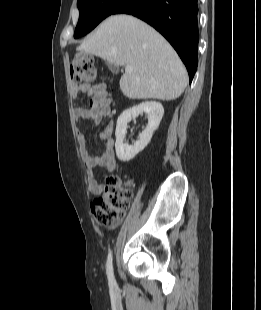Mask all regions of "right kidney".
I'll return each instance as SVG.
<instances>
[{"label": "right kidney", "mask_w": 261, "mask_h": 310, "mask_svg": "<svg viewBox=\"0 0 261 310\" xmlns=\"http://www.w3.org/2000/svg\"><path fill=\"white\" fill-rule=\"evenodd\" d=\"M143 112L149 117L148 125L133 145H126L124 138L127 133V124ZM163 114L164 109L162 104L156 101H146L122 112L118 117L115 131V150L119 160L123 162L132 160L148 145L154 131L158 128L162 120Z\"/></svg>", "instance_id": "right-kidney-1"}]
</instances>
